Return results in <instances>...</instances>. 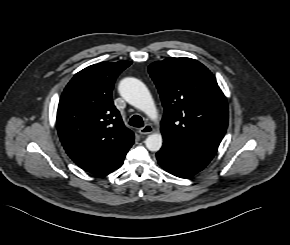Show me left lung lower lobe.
Segmentation results:
<instances>
[{
    "instance_id": "left-lung-lower-lobe-1",
    "label": "left lung lower lobe",
    "mask_w": 290,
    "mask_h": 245,
    "mask_svg": "<svg viewBox=\"0 0 290 245\" xmlns=\"http://www.w3.org/2000/svg\"><path fill=\"white\" fill-rule=\"evenodd\" d=\"M156 157L163 169L180 178L192 177L204 169L212 159L165 141Z\"/></svg>"
}]
</instances>
